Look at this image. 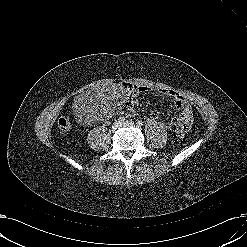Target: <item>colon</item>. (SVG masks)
Returning a JSON list of instances; mask_svg holds the SVG:
<instances>
[{
	"label": "colon",
	"mask_w": 247,
	"mask_h": 247,
	"mask_svg": "<svg viewBox=\"0 0 247 247\" xmlns=\"http://www.w3.org/2000/svg\"><path fill=\"white\" fill-rule=\"evenodd\" d=\"M57 127L60 133L66 134L70 130V119L68 116H61L57 120ZM187 128L185 127H178L175 130V136L177 138H182L186 132Z\"/></svg>",
	"instance_id": "5ec220e1"
}]
</instances>
